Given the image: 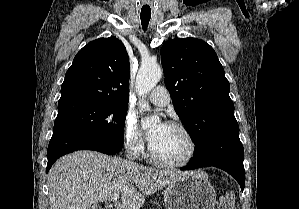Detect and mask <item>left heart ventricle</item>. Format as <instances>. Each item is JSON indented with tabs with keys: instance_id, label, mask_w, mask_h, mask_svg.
<instances>
[{
	"instance_id": "left-heart-ventricle-1",
	"label": "left heart ventricle",
	"mask_w": 299,
	"mask_h": 209,
	"mask_svg": "<svg viewBox=\"0 0 299 209\" xmlns=\"http://www.w3.org/2000/svg\"><path fill=\"white\" fill-rule=\"evenodd\" d=\"M151 148L159 159L173 162L179 161L187 155L189 143L181 131L165 125Z\"/></svg>"
}]
</instances>
